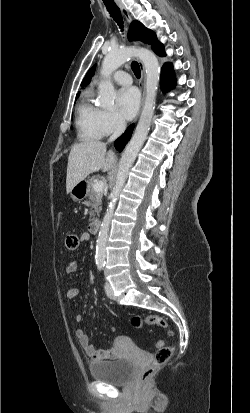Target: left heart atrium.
<instances>
[{
	"instance_id": "obj_1",
	"label": "left heart atrium",
	"mask_w": 250,
	"mask_h": 413,
	"mask_svg": "<svg viewBox=\"0 0 250 413\" xmlns=\"http://www.w3.org/2000/svg\"><path fill=\"white\" fill-rule=\"evenodd\" d=\"M118 105L122 115L130 120L137 114L140 106V96L135 88L129 87L118 93Z\"/></svg>"
}]
</instances>
